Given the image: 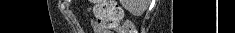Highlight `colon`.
I'll use <instances>...</instances> for the list:
<instances>
[{
	"mask_svg": "<svg viewBox=\"0 0 235 33\" xmlns=\"http://www.w3.org/2000/svg\"><path fill=\"white\" fill-rule=\"evenodd\" d=\"M95 2L94 14L99 24L106 29L117 30L120 33H133L134 27L131 22L119 26L122 10L113 0H93Z\"/></svg>",
	"mask_w": 235,
	"mask_h": 33,
	"instance_id": "colon-1",
	"label": "colon"
}]
</instances>
